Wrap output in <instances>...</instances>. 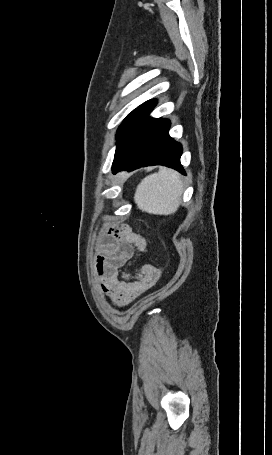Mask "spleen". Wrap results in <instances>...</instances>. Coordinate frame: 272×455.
<instances>
[{
    "label": "spleen",
    "mask_w": 272,
    "mask_h": 455,
    "mask_svg": "<svg viewBox=\"0 0 272 455\" xmlns=\"http://www.w3.org/2000/svg\"><path fill=\"white\" fill-rule=\"evenodd\" d=\"M183 193L180 175L167 168L145 177L137 186L134 201L142 211L169 215L177 211Z\"/></svg>",
    "instance_id": "obj_1"
}]
</instances>
